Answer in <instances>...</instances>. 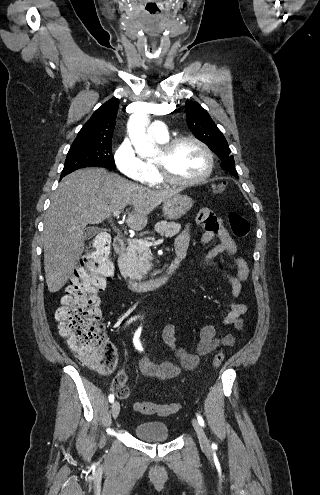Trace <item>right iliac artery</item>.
Listing matches in <instances>:
<instances>
[{"label": "right iliac artery", "instance_id": "82829eb1", "mask_svg": "<svg viewBox=\"0 0 320 495\" xmlns=\"http://www.w3.org/2000/svg\"><path fill=\"white\" fill-rule=\"evenodd\" d=\"M133 319H134V318H131V319L128 321V323H129V322H131ZM109 401H110L111 403L114 401V395H113V394H111V395L109 396Z\"/></svg>", "mask_w": 320, "mask_h": 495}]
</instances>
